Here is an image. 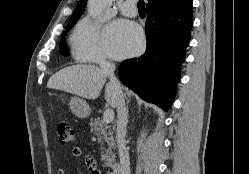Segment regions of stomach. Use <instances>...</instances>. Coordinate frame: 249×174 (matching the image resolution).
<instances>
[{
  "label": "stomach",
  "mask_w": 249,
  "mask_h": 174,
  "mask_svg": "<svg viewBox=\"0 0 249 174\" xmlns=\"http://www.w3.org/2000/svg\"><path fill=\"white\" fill-rule=\"evenodd\" d=\"M58 99L65 101L68 97L64 94L58 96ZM69 105L72 112L79 118H86L90 114L91 110L87 102L78 97H71L69 100Z\"/></svg>",
  "instance_id": "obj_1"
}]
</instances>
